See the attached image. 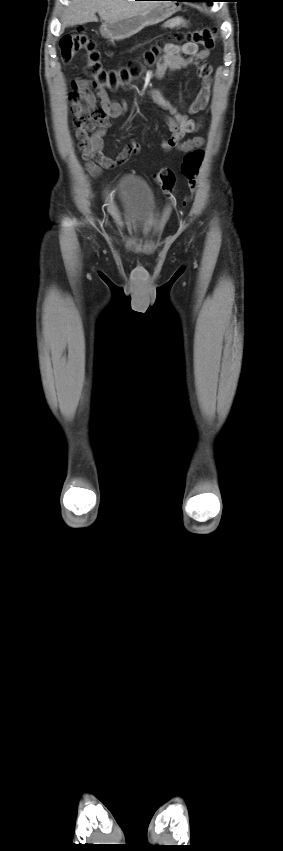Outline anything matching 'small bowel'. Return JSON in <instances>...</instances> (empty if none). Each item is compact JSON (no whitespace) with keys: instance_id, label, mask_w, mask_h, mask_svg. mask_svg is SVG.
Instances as JSON below:
<instances>
[{"instance_id":"1","label":"small bowel","mask_w":283,"mask_h":851,"mask_svg":"<svg viewBox=\"0 0 283 851\" xmlns=\"http://www.w3.org/2000/svg\"><path fill=\"white\" fill-rule=\"evenodd\" d=\"M184 24V20L174 19L166 22L165 27L174 28ZM208 56L209 50H200L197 44L191 42L183 45L167 44L163 49V55L156 70L158 79L163 78L168 71L175 72L190 66L198 67L199 76L202 79L201 89L195 99L185 106L184 112L169 102L160 90L150 92L153 102L168 113L166 122L171 135L162 140L165 151L178 149L186 152L203 145L202 137L187 140L183 138L186 134L199 130L201 123L194 121L189 115L204 110L209 101L212 69L204 63ZM69 100L81 158L85 169L92 176H100L103 169H113L124 164L132 155L139 152L140 145L131 141L114 159L103 153V138L111 126V119L122 116L127 110V103L111 101L103 87L95 86L91 80L83 78L73 81ZM97 102L100 104V110H95ZM89 130H93L91 135L88 134Z\"/></svg>"}]
</instances>
